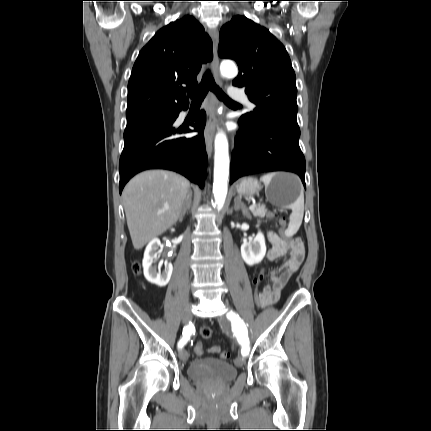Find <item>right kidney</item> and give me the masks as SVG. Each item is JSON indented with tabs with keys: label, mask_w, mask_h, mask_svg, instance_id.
Listing matches in <instances>:
<instances>
[{
	"label": "right kidney",
	"mask_w": 431,
	"mask_h": 431,
	"mask_svg": "<svg viewBox=\"0 0 431 431\" xmlns=\"http://www.w3.org/2000/svg\"><path fill=\"white\" fill-rule=\"evenodd\" d=\"M160 245L161 242L158 238L149 242L144 252L143 270L147 281L159 287H164L170 281L173 266L171 263H165V269L161 272L163 261L157 264L159 260Z\"/></svg>",
	"instance_id": "1"
}]
</instances>
